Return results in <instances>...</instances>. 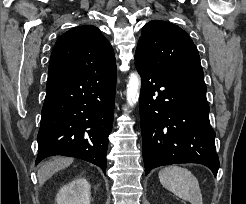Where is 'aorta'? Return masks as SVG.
I'll list each match as a JSON object with an SVG mask.
<instances>
[{
    "mask_svg": "<svg viewBox=\"0 0 246 204\" xmlns=\"http://www.w3.org/2000/svg\"><path fill=\"white\" fill-rule=\"evenodd\" d=\"M141 80L137 73H131L127 84L126 98L129 106L133 107L139 98Z\"/></svg>",
    "mask_w": 246,
    "mask_h": 204,
    "instance_id": "aorta-1",
    "label": "aorta"
}]
</instances>
